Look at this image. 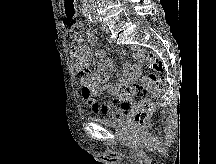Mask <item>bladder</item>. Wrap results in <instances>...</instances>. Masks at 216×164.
Segmentation results:
<instances>
[{"label": "bladder", "instance_id": "bladder-1", "mask_svg": "<svg viewBox=\"0 0 216 164\" xmlns=\"http://www.w3.org/2000/svg\"><path fill=\"white\" fill-rule=\"evenodd\" d=\"M126 112L122 111V113L113 119H105V118H99V117H93L92 119L102 125L109 126V127H120L123 126L126 119Z\"/></svg>", "mask_w": 216, "mask_h": 164}]
</instances>
